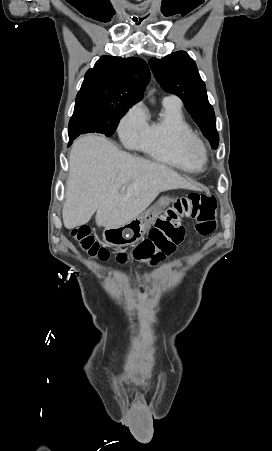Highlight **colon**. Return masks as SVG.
<instances>
[{"mask_svg":"<svg viewBox=\"0 0 272 451\" xmlns=\"http://www.w3.org/2000/svg\"><path fill=\"white\" fill-rule=\"evenodd\" d=\"M216 199L212 194L191 192L177 197L155 221L156 227L150 230L149 238L138 244L131 255L114 253V262L145 263L150 266L160 264L175 250L176 244L182 241L184 233L179 226L183 218L193 220L196 231L208 235L217 227ZM71 237L80 243L85 252L96 256L98 262H106L110 256L108 249L93 238L88 226L82 225L72 229Z\"/></svg>","mask_w":272,"mask_h":451,"instance_id":"5ec220e1","label":"colon"}]
</instances>
